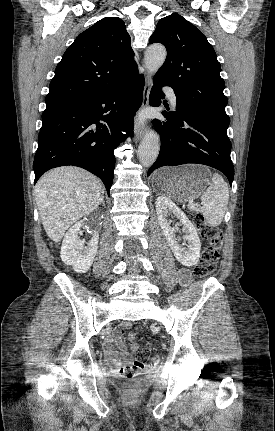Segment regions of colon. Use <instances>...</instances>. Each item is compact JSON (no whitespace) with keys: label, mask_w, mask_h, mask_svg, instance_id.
Segmentation results:
<instances>
[{"label":"colon","mask_w":275,"mask_h":431,"mask_svg":"<svg viewBox=\"0 0 275 431\" xmlns=\"http://www.w3.org/2000/svg\"><path fill=\"white\" fill-rule=\"evenodd\" d=\"M195 226L203 239L208 242L204 248L202 255L194 267V274L197 277L203 278L214 272L216 263L219 258V251L222 247V232L217 226L210 225L202 214H197L194 217ZM129 338L133 340L135 333L130 332ZM131 349L137 352L135 360L126 364L120 370V373L125 378H133L139 371H141L145 364L150 360L152 364L159 362L158 356H150V349H139L136 342L131 343ZM140 389V384L132 381L127 385V392L130 394L136 393Z\"/></svg>","instance_id":"5ec220e1"}]
</instances>
